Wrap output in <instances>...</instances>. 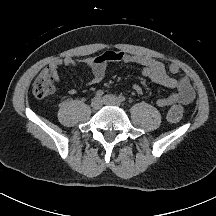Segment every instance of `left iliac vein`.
<instances>
[{"instance_id": "1", "label": "left iliac vein", "mask_w": 216, "mask_h": 216, "mask_svg": "<svg viewBox=\"0 0 216 216\" xmlns=\"http://www.w3.org/2000/svg\"><path fill=\"white\" fill-rule=\"evenodd\" d=\"M104 104L112 105V106H120L119 99L114 95H105L103 97Z\"/></svg>"}]
</instances>
